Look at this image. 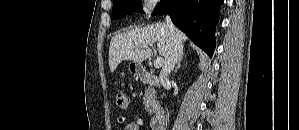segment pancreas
<instances>
[{
  "label": "pancreas",
  "instance_id": "obj_1",
  "mask_svg": "<svg viewBox=\"0 0 299 130\" xmlns=\"http://www.w3.org/2000/svg\"><path fill=\"white\" fill-rule=\"evenodd\" d=\"M143 104H144L145 110L147 112H149L150 114L153 113L156 110L157 101H156V98H155V92L152 89L151 85H149L145 89Z\"/></svg>",
  "mask_w": 299,
  "mask_h": 130
}]
</instances>
